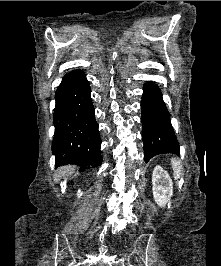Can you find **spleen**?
I'll return each instance as SVG.
<instances>
[{
	"instance_id": "spleen-1",
	"label": "spleen",
	"mask_w": 221,
	"mask_h": 266,
	"mask_svg": "<svg viewBox=\"0 0 221 266\" xmlns=\"http://www.w3.org/2000/svg\"><path fill=\"white\" fill-rule=\"evenodd\" d=\"M171 162H172V168L174 170L175 176L177 178H180L181 168H180L179 162L176 159H172Z\"/></svg>"
}]
</instances>
